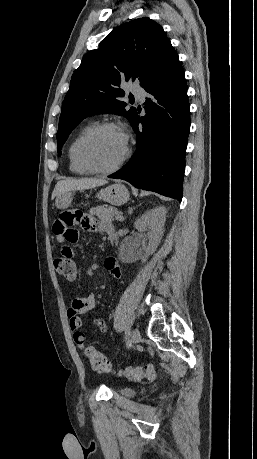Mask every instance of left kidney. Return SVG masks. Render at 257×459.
<instances>
[{"instance_id": "5707ae66", "label": "left kidney", "mask_w": 257, "mask_h": 459, "mask_svg": "<svg viewBox=\"0 0 257 459\" xmlns=\"http://www.w3.org/2000/svg\"><path fill=\"white\" fill-rule=\"evenodd\" d=\"M167 210L164 206L146 211L136 220L135 228L140 234H146L148 245L143 249L146 256L154 253L163 237ZM146 259H143L145 261Z\"/></svg>"}]
</instances>
